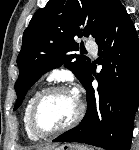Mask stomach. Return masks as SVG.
<instances>
[{
    "label": "stomach",
    "instance_id": "obj_1",
    "mask_svg": "<svg viewBox=\"0 0 139 150\" xmlns=\"http://www.w3.org/2000/svg\"><path fill=\"white\" fill-rule=\"evenodd\" d=\"M38 150H45L44 148ZM46 150H91L90 148L77 144H64L57 148H51Z\"/></svg>",
    "mask_w": 139,
    "mask_h": 150
}]
</instances>
